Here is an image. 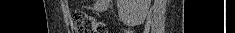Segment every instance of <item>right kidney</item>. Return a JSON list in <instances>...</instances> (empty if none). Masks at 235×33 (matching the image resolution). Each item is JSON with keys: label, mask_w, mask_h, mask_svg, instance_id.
I'll list each match as a JSON object with an SVG mask.
<instances>
[{"label": "right kidney", "mask_w": 235, "mask_h": 33, "mask_svg": "<svg viewBox=\"0 0 235 33\" xmlns=\"http://www.w3.org/2000/svg\"><path fill=\"white\" fill-rule=\"evenodd\" d=\"M150 0H119V14L125 20H142L149 9Z\"/></svg>", "instance_id": "right-kidney-1"}]
</instances>
